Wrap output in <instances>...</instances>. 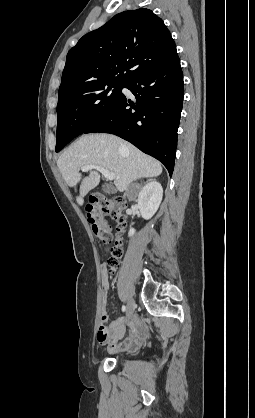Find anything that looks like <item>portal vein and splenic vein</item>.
Masks as SVG:
<instances>
[{
    "label": "portal vein and splenic vein",
    "instance_id": "18ae733b",
    "mask_svg": "<svg viewBox=\"0 0 255 418\" xmlns=\"http://www.w3.org/2000/svg\"><path fill=\"white\" fill-rule=\"evenodd\" d=\"M92 169H96L97 171H99L108 180H114L115 179V174L112 173V172H109L107 169H105L103 167L93 165V164L85 165V166L81 167V170L84 171V172L92 170Z\"/></svg>",
    "mask_w": 255,
    "mask_h": 418
}]
</instances>
